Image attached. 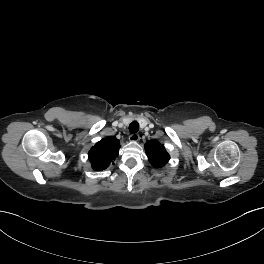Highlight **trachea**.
I'll return each mask as SVG.
<instances>
[{
  "label": "trachea",
  "mask_w": 264,
  "mask_h": 264,
  "mask_svg": "<svg viewBox=\"0 0 264 264\" xmlns=\"http://www.w3.org/2000/svg\"><path fill=\"white\" fill-rule=\"evenodd\" d=\"M139 130V124L136 121H133L130 125H129V131L131 133H136Z\"/></svg>",
  "instance_id": "obj_1"
}]
</instances>
